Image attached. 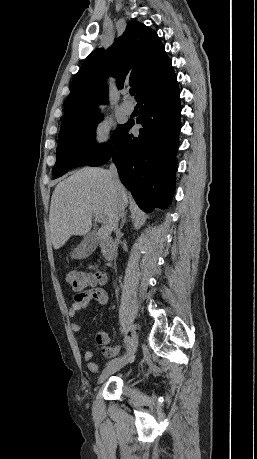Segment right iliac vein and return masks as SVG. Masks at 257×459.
Wrapping results in <instances>:
<instances>
[{"instance_id":"right-iliac-vein-1","label":"right iliac vein","mask_w":257,"mask_h":459,"mask_svg":"<svg viewBox=\"0 0 257 459\" xmlns=\"http://www.w3.org/2000/svg\"><path fill=\"white\" fill-rule=\"evenodd\" d=\"M131 335H132V338H131L132 341L128 349V352L123 357H121L119 360L110 364L108 367H106L103 370V372L98 378V383H102L111 374H114L115 372L119 371L121 368H123L128 362H130L134 358V353L136 351L137 341H138V334L134 328L131 329Z\"/></svg>"}]
</instances>
